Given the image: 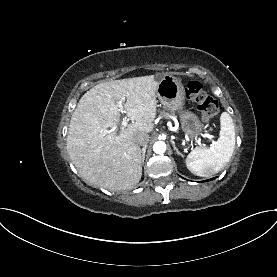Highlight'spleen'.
I'll use <instances>...</instances> for the list:
<instances>
[{
  "instance_id": "1",
  "label": "spleen",
  "mask_w": 277,
  "mask_h": 277,
  "mask_svg": "<svg viewBox=\"0 0 277 277\" xmlns=\"http://www.w3.org/2000/svg\"><path fill=\"white\" fill-rule=\"evenodd\" d=\"M220 136L209 148L196 147L186 158L187 168L195 175L209 177L224 168L235 148V127L231 116L220 117Z\"/></svg>"
}]
</instances>
